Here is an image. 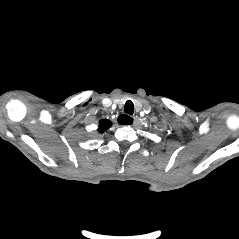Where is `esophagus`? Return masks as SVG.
Here are the masks:
<instances>
[{
    "label": "esophagus",
    "mask_w": 239,
    "mask_h": 239,
    "mask_svg": "<svg viewBox=\"0 0 239 239\" xmlns=\"http://www.w3.org/2000/svg\"><path fill=\"white\" fill-rule=\"evenodd\" d=\"M118 122H119V124H121V125H135L136 124V122H137V118H135V117H128V116H126V115H120L119 117H118Z\"/></svg>",
    "instance_id": "1"
}]
</instances>
